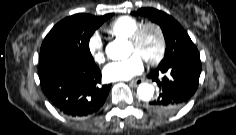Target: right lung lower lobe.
Instances as JSON below:
<instances>
[{
	"label": "right lung lower lobe",
	"mask_w": 236,
	"mask_h": 135,
	"mask_svg": "<svg viewBox=\"0 0 236 135\" xmlns=\"http://www.w3.org/2000/svg\"><path fill=\"white\" fill-rule=\"evenodd\" d=\"M43 92L52 105L72 118L96 113L104 104L109 85H101V71L76 57L39 66Z\"/></svg>",
	"instance_id": "1"
}]
</instances>
